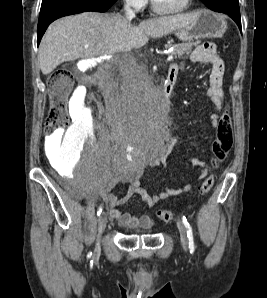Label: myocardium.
I'll list each match as a JSON object with an SVG mask.
<instances>
[{
	"label": "myocardium",
	"mask_w": 267,
	"mask_h": 298,
	"mask_svg": "<svg viewBox=\"0 0 267 298\" xmlns=\"http://www.w3.org/2000/svg\"><path fill=\"white\" fill-rule=\"evenodd\" d=\"M192 3V0H186L185 1V4L183 5L182 8H180L179 10L177 11H165V10H162L156 3L155 0H151V7H152V10L159 14V15H164V16H174V15H179V14H182L184 13L186 10L189 9L190 5Z\"/></svg>",
	"instance_id": "obj_1"
}]
</instances>
